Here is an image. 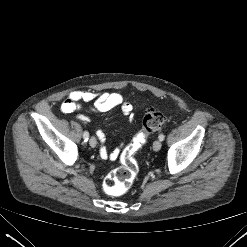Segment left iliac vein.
<instances>
[{
	"label": "left iliac vein",
	"instance_id": "obj_1",
	"mask_svg": "<svg viewBox=\"0 0 247 247\" xmlns=\"http://www.w3.org/2000/svg\"><path fill=\"white\" fill-rule=\"evenodd\" d=\"M162 147V143L160 140H156L154 143H153V150L154 151H159Z\"/></svg>",
	"mask_w": 247,
	"mask_h": 247
}]
</instances>
